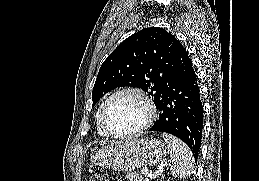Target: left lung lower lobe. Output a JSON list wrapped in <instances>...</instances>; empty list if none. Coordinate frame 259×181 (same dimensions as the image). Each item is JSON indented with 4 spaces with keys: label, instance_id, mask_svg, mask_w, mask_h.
Segmentation results:
<instances>
[{
    "label": "left lung lower lobe",
    "instance_id": "obj_1",
    "mask_svg": "<svg viewBox=\"0 0 259 181\" xmlns=\"http://www.w3.org/2000/svg\"><path fill=\"white\" fill-rule=\"evenodd\" d=\"M155 105L160 114L150 131L166 132L180 138L197 159L202 139L203 106L192 61L179 41L175 73Z\"/></svg>",
    "mask_w": 259,
    "mask_h": 181
}]
</instances>
